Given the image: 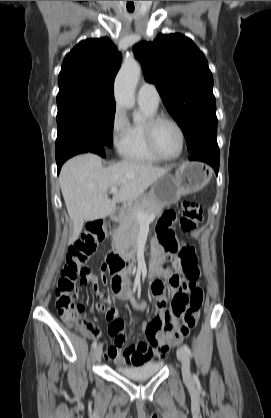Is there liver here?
<instances>
[{
	"mask_svg": "<svg viewBox=\"0 0 271 418\" xmlns=\"http://www.w3.org/2000/svg\"><path fill=\"white\" fill-rule=\"evenodd\" d=\"M170 169L135 161H122L104 168L101 158L90 153L68 160L59 176L62 195L73 222L68 244L78 239L85 221L112 215L116 203L137 200ZM112 187H118L119 191L110 199L107 192Z\"/></svg>",
	"mask_w": 271,
	"mask_h": 418,
	"instance_id": "liver-1",
	"label": "liver"
}]
</instances>
